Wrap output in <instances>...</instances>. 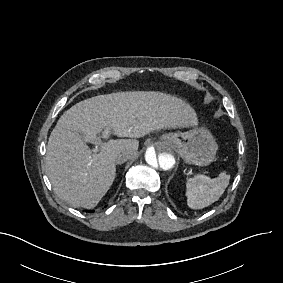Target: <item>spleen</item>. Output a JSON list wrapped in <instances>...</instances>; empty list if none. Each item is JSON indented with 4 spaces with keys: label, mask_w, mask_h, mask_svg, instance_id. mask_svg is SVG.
Here are the masks:
<instances>
[{
    "label": "spleen",
    "mask_w": 283,
    "mask_h": 283,
    "mask_svg": "<svg viewBox=\"0 0 283 283\" xmlns=\"http://www.w3.org/2000/svg\"><path fill=\"white\" fill-rule=\"evenodd\" d=\"M229 180L230 174L224 173L214 179L202 173L187 177L185 191L187 205L193 209H201L212 204L223 194Z\"/></svg>",
    "instance_id": "spleen-1"
}]
</instances>
